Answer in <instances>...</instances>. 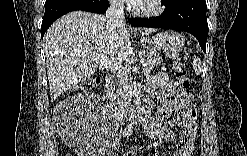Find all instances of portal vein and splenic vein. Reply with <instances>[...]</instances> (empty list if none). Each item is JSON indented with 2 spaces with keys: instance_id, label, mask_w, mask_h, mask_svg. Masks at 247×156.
<instances>
[{
  "instance_id": "18ae733b",
  "label": "portal vein and splenic vein",
  "mask_w": 247,
  "mask_h": 156,
  "mask_svg": "<svg viewBox=\"0 0 247 156\" xmlns=\"http://www.w3.org/2000/svg\"><path fill=\"white\" fill-rule=\"evenodd\" d=\"M96 60L97 59L89 58V61H96ZM141 63L144 64L145 60H142ZM99 64L103 67L111 68L112 70L117 71L118 73H122V74L127 73V69L123 67L122 65H118V64L112 65L110 62L103 61V60L99 61Z\"/></svg>"
}]
</instances>
